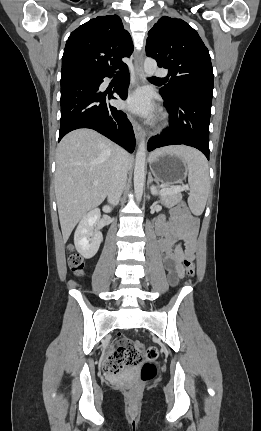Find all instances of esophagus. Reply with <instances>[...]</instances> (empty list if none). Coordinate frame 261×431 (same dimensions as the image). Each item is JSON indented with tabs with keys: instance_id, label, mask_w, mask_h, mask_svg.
<instances>
[{
	"instance_id": "obj_1",
	"label": "esophagus",
	"mask_w": 261,
	"mask_h": 431,
	"mask_svg": "<svg viewBox=\"0 0 261 431\" xmlns=\"http://www.w3.org/2000/svg\"><path fill=\"white\" fill-rule=\"evenodd\" d=\"M134 72L136 75V85H140L144 82V70H143V54H140L134 62ZM128 118L132 123L133 130L135 133L136 140L139 141L142 135V127L140 123L130 114Z\"/></svg>"
}]
</instances>
